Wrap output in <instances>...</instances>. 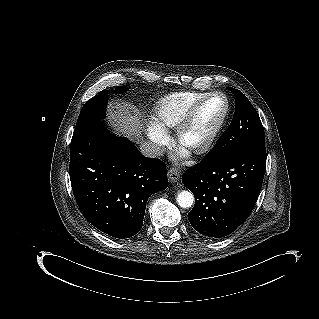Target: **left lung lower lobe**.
Wrapping results in <instances>:
<instances>
[{
  "instance_id": "1",
  "label": "left lung lower lobe",
  "mask_w": 319,
  "mask_h": 319,
  "mask_svg": "<svg viewBox=\"0 0 319 319\" xmlns=\"http://www.w3.org/2000/svg\"><path fill=\"white\" fill-rule=\"evenodd\" d=\"M265 168V145H258L215 161L203 159L187 169L182 183L195 196V205L188 213L192 227L209 239L235 231L256 203Z\"/></svg>"
}]
</instances>
